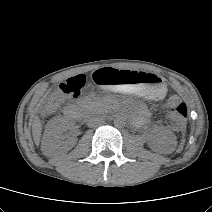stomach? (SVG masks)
I'll return each instance as SVG.
<instances>
[{
    "label": "stomach",
    "instance_id": "stomach-1",
    "mask_svg": "<svg viewBox=\"0 0 212 212\" xmlns=\"http://www.w3.org/2000/svg\"><path fill=\"white\" fill-rule=\"evenodd\" d=\"M92 83L98 86H110L124 93L137 94L149 99H161L166 92V85L159 76L119 70L112 66H100L89 74Z\"/></svg>",
    "mask_w": 212,
    "mask_h": 212
}]
</instances>
